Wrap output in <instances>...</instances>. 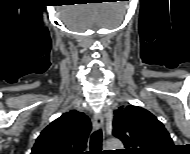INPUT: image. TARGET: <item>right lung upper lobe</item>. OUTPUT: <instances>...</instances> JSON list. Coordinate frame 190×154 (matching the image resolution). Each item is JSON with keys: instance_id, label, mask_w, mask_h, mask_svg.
<instances>
[{"instance_id": "cb5924a9", "label": "right lung upper lobe", "mask_w": 190, "mask_h": 154, "mask_svg": "<svg viewBox=\"0 0 190 154\" xmlns=\"http://www.w3.org/2000/svg\"><path fill=\"white\" fill-rule=\"evenodd\" d=\"M90 131L88 116L71 110L40 133L31 154H82Z\"/></svg>"}]
</instances>
